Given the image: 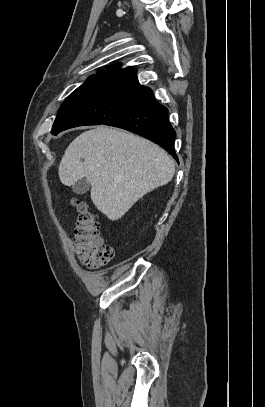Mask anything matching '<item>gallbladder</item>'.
Here are the masks:
<instances>
[{"mask_svg": "<svg viewBox=\"0 0 265 407\" xmlns=\"http://www.w3.org/2000/svg\"><path fill=\"white\" fill-rule=\"evenodd\" d=\"M90 188V183L86 179H81L72 185V190L78 195L85 194Z\"/></svg>", "mask_w": 265, "mask_h": 407, "instance_id": "1", "label": "gallbladder"}]
</instances>
